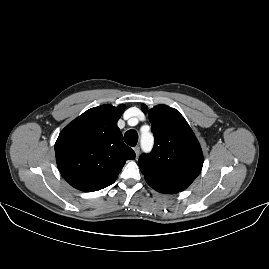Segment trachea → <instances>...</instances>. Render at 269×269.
I'll return each mask as SVG.
<instances>
[{
	"label": "trachea",
	"mask_w": 269,
	"mask_h": 269,
	"mask_svg": "<svg viewBox=\"0 0 269 269\" xmlns=\"http://www.w3.org/2000/svg\"><path fill=\"white\" fill-rule=\"evenodd\" d=\"M124 141L134 147L136 144H137V141H138V134L135 130L131 129V130H128L125 135H124Z\"/></svg>",
	"instance_id": "obj_1"
}]
</instances>
